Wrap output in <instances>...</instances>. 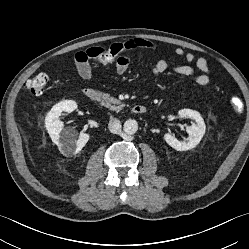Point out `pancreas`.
<instances>
[{
    "label": "pancreas",
    "mask_w": 249,
    "mask_h": 249,
    "mask_svg": "<svg viewBox=\"0 0 249 249\" xmlns=\"http://www.w3.org/2000/svg\"><path fill=\"white\" fill-rule=\"evenodd\" d=\"M101 96H102L101 104L109 108L110 110L120 111L125 107L124 103H122L120 100L116 98L110 97V95L107 93H102Z\"/></svg>",
    "instance_id": "1"
}]
</instances>
